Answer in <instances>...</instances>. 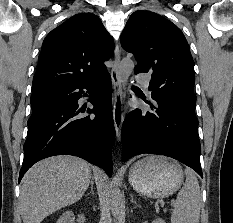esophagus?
Segmentation results:
<instances>
[{
	"label": "esophagus",
	"instance_id": "esophagus-1",
	"mask_svg": "<svg viewBox=\"0 0 233 223\" xmlns=\"http://www.w3.org/2000/svg\"><path fill=\"white\" fill-rule=\"evenodd\" d=\"M121 59V52L119 45H116L114 52L113 66L111 68V80L113 85V119L115 125V131L117 139L120 140L121 128L123 123V94L122 85L119 76V65Z\"/></svg>",
	"mask_w": 233,
	"mask_h": 223
}]
</instances>
